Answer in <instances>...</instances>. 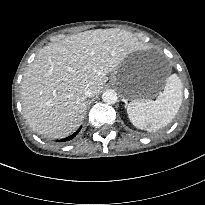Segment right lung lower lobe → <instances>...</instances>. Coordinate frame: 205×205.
Listing matches in <instances>:
<instances>
[{
  "label": "right lung lower lobe",
  "instance_id": "98d812e1",
  "mask_svg": "<svg viewBox=\"0 0 205 205\" xmlns=\"http://www.w3.org/2000/svg\"><path fill=\"white\" fill-rule=\"evenodd\" d=\"M79 131H80V128L74 134H72L71 136L60 140V142H65V141H69V140L73 139Z\"/></svg>",
  "mask_w": 205,
  "mask_h": 205
}]
</instances>
